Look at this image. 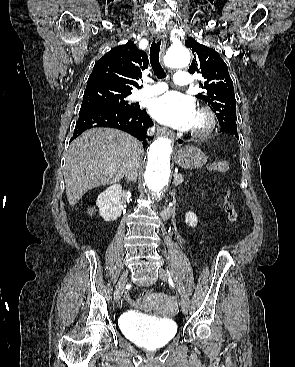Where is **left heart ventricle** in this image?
<instances>
[{"instance_id":"b2bd125f","label":"left heart ventricle","mask_w":295,"mask_h":367,"mask_svg":"<svg viewBox=\"0 0 295 367\" xmlns=\"http://www.w3.org/2000/svg\"><path fill=\"white\" fill-rule=\"evenodd\" d=\"M202 124V121L196 116L193 123H192V126L191 128H197V127H200Z\"/></svg>"}]
</instances>
